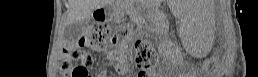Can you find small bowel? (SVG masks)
Listing matches in <instances>:
<instances>
[{"label":"small bowel","mask_w":258,"mask_h":77,"mask_svg":"<svg viewBox=\"0 0 258 77\" xmlns=\"http://www.w3.org/2000/svg\"><path fill=\"white\" fill-rule=\"evenodd\" d=\"M117 55H119V53H116V56H117ZM88 57H89V56H88ZM110 59H111V60H114L113 55H110ZM121 65H122V64H121L120 62H115V63H114L115 70L118 71V70L121 68Z\"/></svg>","instance_id":"1"}]
</instances>
